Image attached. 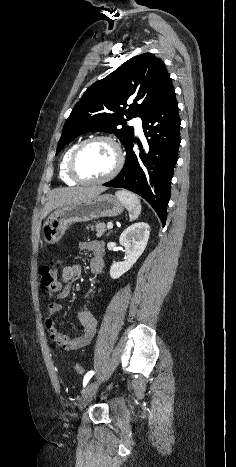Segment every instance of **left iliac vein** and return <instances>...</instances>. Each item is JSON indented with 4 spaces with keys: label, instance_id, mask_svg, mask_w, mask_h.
<instances>
[{
    "label": "left iliac vein",
    "instance_id": "obj_1",
    "mask_svg": "<svg viewBox=\"0 0 236 467\" xmlns=\"http://www.w3.org/2000/svg\"><path fill=\"white\" fill-rule=\"evenodd\" d=\"M100 385V381L96 380L90 383L84 390L80 401H79V410L83 411L84 408L92 401Z\"/></svg>",
    "mask_w": 236,
    "mask_h": 467
}]
</instances>
